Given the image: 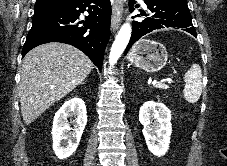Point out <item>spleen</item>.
Instances as JSON below:
<instances>
[{"label":"spleen","mask_w":227,"mask_h":166,"mask_svg":"<svg viewBox=\"0 0 227 166\" xmlns=\"http://www.w3.org/2000/svg\"><path fill=\"white\" fill-rule=\"evenodd\" d=\"M184 98L189 103L199 100L202 93V73L198 64H193L184 75Z\"/></svg>","instance_id":"obj_1"}]
</instances>
